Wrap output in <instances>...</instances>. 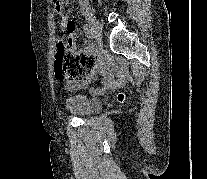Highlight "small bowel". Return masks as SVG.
<instances>
[{"label": "small bowel", "mask_w": 207, "mask_h": 179, "mask_svg": "<svg viewBox=\"0 0 207 179\" xmlns=\"http://www.w3.org/2000/svg\"><path fill=\"white\" fill-rule=\"evenodd\" d=\"M61 27L67 29L70 32L75 30L74 23L67 18L62 19ZM69 40L72 44V48L75 49L76 43L74 35H72ZM90 63L92 66V72L88 77V81H95L96 73H100L103 76L101 85L92 89L94 93L103 94L106 92V90L119 87L124 83L125 79L122 75L121 69L115 66L106 56L90 57ZM70 87H72V85Z\"/></svg>", "instance_id": "obj_1"}]
</instances>
